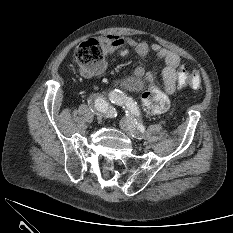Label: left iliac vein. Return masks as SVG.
<instances>
[{
    "mask_svg": "<svg viewBox=\"0 0 233 233\" xmlns=\"http://www.w3.org/2000/svg\"><path fill=\"white\" fill-rule=\"evenodd\" d=\"M120 125L123 131L132 139H141L143 137L142 132H140L134 125L130 118L122 119Z\"/></svg>",
    "mask_w": 233,
    "mask_h": 233,
    "instance_id": "4c4485c4",
    "label": "left iliac vein"
}]
</instances>
